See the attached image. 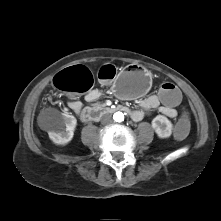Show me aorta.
<instances>
[{
  "mask_svg": "<svg viewBox=\"0 0 221 221\" xmlns=\"http://www.w3.org/2000/svg\"><path fill=\"white\" fill-rule=\"evenodd\" d=\"M113 119L116 122H122L124 120V114L122 112L118 111V112L114 113Z\"/></svg>",
  "mask_w": 221,
  "mask_h": 221,
  "instance_id": "1",
  "label": "aorta"
}]
</instances>
